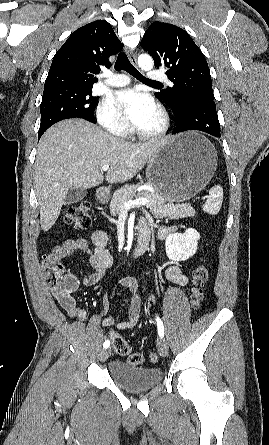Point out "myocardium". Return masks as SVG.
<instances>
[{"label":"myocardium","mask_w":269,"mask_h":445,"mask_svg":"<svg viewBox=\"0 0 269 445\" xmlns=\"http://www.w3.org/2000/svg\"><path fill=\"white\" fill-rule=\"evenodd\" d=\"M157 112L160 116L161 124L158 129L153 132H144L138 128L135 129V133L143 140H154L163 137L169 130L170 118L165 109L157 107Z\"/></svg>","instance_id":"1"}]
</instances>
